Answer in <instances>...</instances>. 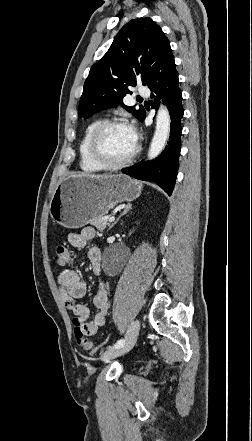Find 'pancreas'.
I'll return each mask as SVG.
<instances>
[{
	"instance_id": "1",
	"label": "pancreas",
	"mask_w": 252,
	"mask_h": 441,
	"mask_svg": "<svg viewBox=\"0 0 252 441\" xmlns=\"http://www.w3.org/2000/svg\"><path fill=\"white\" fill-rule=\"evenodd\" d=\"M90 224L95 226L100 232H103L107 228V226H109L107 220L102 217L90 220Z\"/></svg>"
}]
</instances>
